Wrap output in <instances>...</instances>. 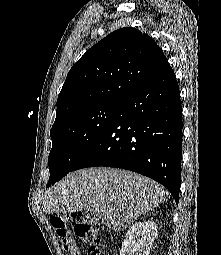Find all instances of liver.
I'll use <instances>...</instances> for the list:
<instances>
[{
    "mask_svg": "<svg viewBox=\"0 0 221 255\" xmlns=\"http://www.w3.org/2000/svg\"><path fill=\"white\" fill-rule=\"evenodd\" d=\"M167 198L168 191L150 178L98 167L69 173L47 192L43 208L48 214L94 210L103 224L120 232Z\"/></svg>",
    "mask_w": 221,
    "mask_h": 255,
    "instance_id": "1",
    "label": "liver"
}]
</instances>
